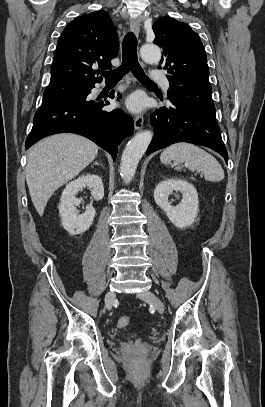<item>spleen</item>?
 I'll return each mask as SVG.
<instances>
[{
    "instance_id": "obj_1",
    "label": "spleen",
    "mask_w": 265,
    "mask_h": 407,
    "mask_svg": "<svg viewBox=\"0 0 265 407\" xmlns=\"http://www.w3.org/2000/svg\"><path fill=\"white\" fill-rule=\"evenodd\" d=\"M160 160L165 165L173 161L178 165L176 170L181 169L179 164L185 163L190 170L201 171L208 181L217 182L224 179V171L216 158L190 143L180 142L167 147L162 152Z\"/></svg>"
}]
</instances>
